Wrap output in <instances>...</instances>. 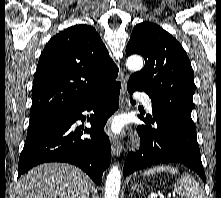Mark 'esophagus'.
I'll return each mask as SVG.
<instances>
[{"instance_id": "obj_1", "label": "esophagus", "mask_w": 221, "mask_h": 198, "mask_svg": "<svg viewBox=\"0 0 221 198\" xmlns=\"http://www.w3.org/2000/svg\"><path fill=\"white\" fill-rule=\"evenodd\" d=\"M127 80H128V76L125 75L122 78V87H121V109H123L125 101H124V97L126 95V90H127ZM111 148H112V153L114 156H120L121 152H122V144L120 139L118 138H113L111 141Z\"/></svg>"}]
</instances>
